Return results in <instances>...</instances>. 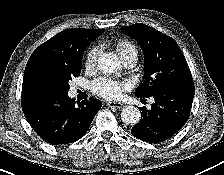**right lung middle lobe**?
<instances>
[{
	"label": "right lung middle lobe",
	"mask_w": 224,
	"mask_h": 175,
	"mask_svg": "<svg viewBox=\"0 0 224 175\" xmlns=\"http://www.w3.org/2000/svg\"><path fill=\"white\" fill-rule=\"evenodd\" d=\"M83 55L61 62H50L38 66L31 74L30 90H52L68 92L69 81L81 73Z\"/></svg>",
	"instance_id": "right-lung-middle-lobe-1"
}]
</instances>
